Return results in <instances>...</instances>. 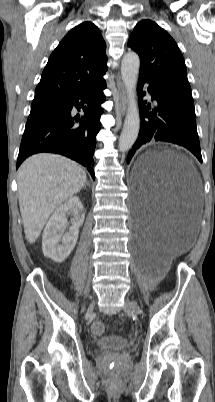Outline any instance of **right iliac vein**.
I'll use <instances>...</instances> for the list:
<instances>
[{"label":"right iliac vein","instance_id":"1","mask_svg":"<svg viewBox=\"0 0 215 402\" xmlns=\"http://www.w3.org/2000/svg\"><path fill=\"white\" fill-rule=\"evenodd\" d=\"M95 306V301H92L88 307V314H91Z\"/></svg>","mask_w":215,"mask_h":402}]
</instances>
